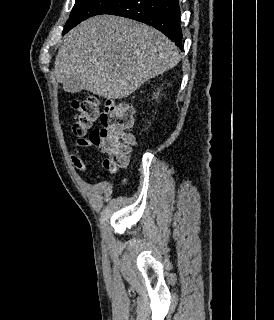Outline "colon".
<instances>
[{
    "mask_svg": "<svg viewBox=\"0 0 274 320\" xmlns=\"http://www.w3.org/2000/svg\"><path fill=\"white\" fill-rule=\"evenodd\" d=\"M74 109L73 134H84L91 138L93 145L99 150H105L108 157L103 160V168L113 173L116 168L127 164L128 155L135 143L131 133L134 122V110L123 101H108L103 107L96 97L71 101ZM94 128L89 137L87 133L93 124Z\"/></svg>",
    "mask_w": 274,
    "mask_h": 320,
    "instance_id": "obj_1",
    "label": "colon"
}]
</instances>
